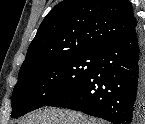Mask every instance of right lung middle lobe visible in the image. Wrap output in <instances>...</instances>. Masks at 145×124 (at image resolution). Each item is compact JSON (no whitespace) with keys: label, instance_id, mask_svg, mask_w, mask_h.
<instances>
[{"label":"right lung middle lobe","instance_id":"dd1d6c3e","mask_svg":"<svg viewBox=\"0 0 145 124\" xmlns=\"http://www.w3.org/2000/svg\"><path fill=\"white\" fill-rule=\"evenodd\" d=\"M98 54H72L48 60L18 77L14 87L11 117L40 107L81 82L91 71Z\"/></svg>","mask_w":145,"mask_h":124}]
</instances>
